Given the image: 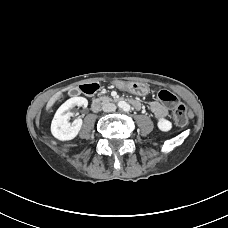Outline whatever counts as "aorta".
<instances>
[{
    "instance_id": "762f6f07",
    "label": "aorta",
    "mask_w": 228,
    "mask_h": 228,
    "mask_svg": "<svg viewBox=\"0 0 228 228\" xmlns=\"http://www.w3.org/2000/svg\"><path fill=\"white\" fill-rule=\"evenodd\" d=\"M121 108L123 110H128L130 108V105L128 103H123L122 106H121Z\"/></svg>"
}]
</instances>
